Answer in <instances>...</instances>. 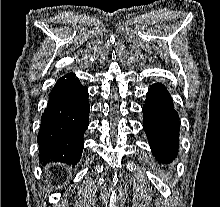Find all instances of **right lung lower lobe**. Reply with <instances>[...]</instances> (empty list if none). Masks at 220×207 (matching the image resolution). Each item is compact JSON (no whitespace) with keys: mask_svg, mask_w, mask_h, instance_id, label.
I'll list each match as a JSON object with an SVG mask.
<instances>
[{"mask_svg":"<svg viewBox=\"0 0 220 207\" xmlns=\"http://www.w3.org/2000/svg\"><path fill=\"white\" fill-rule=\"evenodd\" d=\"M89 110L88 91L75 74L68 73L60 78L41 117L38 134L40 161L79 162Z\"/></svg>","mask_w":220,"mask_h":207,"instance_id":"98d812e1","label":"right lung lower lobe"}]
</instances>
